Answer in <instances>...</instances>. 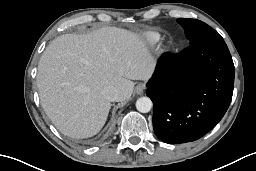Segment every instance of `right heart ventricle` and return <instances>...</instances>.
<instances>
[{
    "label": "right heart ventricle",
    "mask_w": 256,
    "mask_h": 171,
    "mask_svg": "<svg viewBox=\"0 0 256 171\" xmlns=\"http://www.w3.org/2000/svg\"><path fill=\"white\" fill-rule=\"evenodd\" d=\"M150 44H156L160 40V35L156 32H152L147 37Z\"/></svg>",
    "instance_id": "right-heart-ventricle-1"
}]
</instances>
